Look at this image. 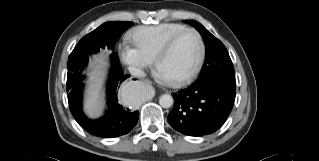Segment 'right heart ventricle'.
<instances>
[{"mask_svg":"<svg viewBox=\"0 0 319 161\" xmlns=\"http://www.w3.org/2000/svg\"><path fill=\"white\" fill-rule=\"evenodd\" d=\"M187 29L178 23H162L155 26L138 27L131 33V40L138 51L153 61L163 45L175 34Z\"/></svg>","mask_w":319,"mask_h":161,"instance_id":"right-heart-ventricle-1","label":"right heart ventricle"}]
</instances>
